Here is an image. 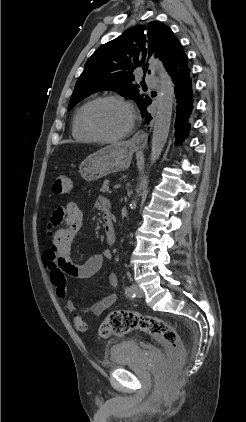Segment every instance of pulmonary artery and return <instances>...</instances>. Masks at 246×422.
<instances>
[{
    "label": "pulmonary artery",
    "mask_w": 246,
    "mask_h": 422,
    "mask_svg": "<svg viewBox=\"0 0 246 422\" xmlns=\"http://www.w3.org/2000/svg\"><path fill=\"white\" fill-rule=\"evenodd\" d=\"M145 81L151 87H157L159 85L158 78L152 74L146 75Z\"/></svg>",
    "instance_id": "1"
}]
</instances>
